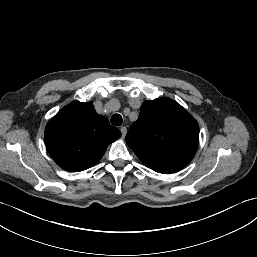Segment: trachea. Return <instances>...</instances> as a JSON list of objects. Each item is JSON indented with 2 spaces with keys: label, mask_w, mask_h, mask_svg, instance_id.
<instances>
[{
  "label": "trachea",
  "mask_w": 257,
  "mask_h": 257,
  "mask_svg": "<svg viewBox=\"0 0 257 257\" xmlns=\"http://www.w3.org/2000/svg\"><path fill=\"white\" fill-rule=\"evenodd\" d=\"M111 123L115 126H121L122 125V116L120 114H114L111 117Z\"/></svg>",
  "instance_id": "3493384b"
}]
</instances>
